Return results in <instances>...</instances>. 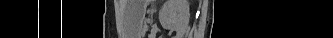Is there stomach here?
Listing matches in <instances>:
<instances>
[{
    "mask_svg": "<svg viewBox=\"0 0 333 38\" xmlns=\"http://www.w3.org/2000/svg\"><path fill=\"white\" fill-rule=\"evenodd\" d=\"M145 0H139L137 1V4H138V7H139V27L141 28L142 25H143V21H144V18H145V8H144V4H145Z\"/></svg>",
    "mask_w": 333,
    "mask_h": 38,
    "instance_id": "1",
    "label": "stomach"
}]
</instances>
